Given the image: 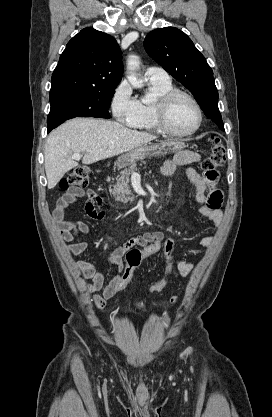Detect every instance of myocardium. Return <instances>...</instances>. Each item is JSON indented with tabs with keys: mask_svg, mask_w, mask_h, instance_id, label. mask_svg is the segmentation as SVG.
Here are the masks:
<instances>
[{
	"mask_svg": "<svg viewBox=\"0 0 272 417\" xmlns=\"http://www.w3.org/2000/svg\"><path fill=\"white\" fill-rule=\"evenodd\" d=\"M180 97L187 98L194 105L198 116L197 123L194 128L187 132L175 131L168 123L169 110L173 102ZM154 118L157 126L162 132L174 137L183 138L189 137L199 130L203 122V111L199 102L192 94L184 90L173 89L156 100L154 104Z\"/></svg>",
	"mask_w": 272,
	"mask_h": 417,
	"instance_id": "f54148a6",
	"label": "myocardium"
}]
</instances>
